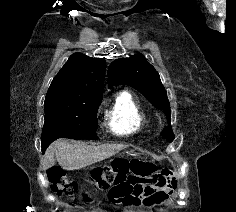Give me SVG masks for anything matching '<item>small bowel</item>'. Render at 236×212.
Segmentation results:
<instances>
[{
	"label": "small bowel",
	"mask_w": 236,
	"mask_h": 212,
	"mask_svg": "<svg viewBox=\"0 0 236 212\" xmlns=\"http://www.w3.org/2000/svg\"><path fill=\"white\" fill-rule=\"evenodd\" d=\"M111 190L107 191L106 210L113 212H129L123 206L130 208H151L162 204L172 194L170 172L163 170L155 173L150 169L148 175H118ZM121 204V205H120Z\"/></svg>",
	"instance_id": "c3829d8e"
}]
</instances>
